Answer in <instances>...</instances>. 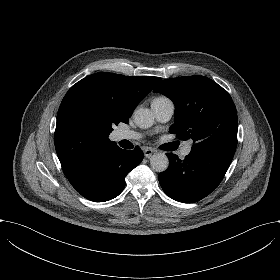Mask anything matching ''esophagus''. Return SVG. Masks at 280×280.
I'll return each instance as SVG.
<instances>
[{"mask_svg": "<svg viewBox=\"0 0 280 280\" xmlns=\"http://www.w3.org/2000/svg\"><path fill=\"white\" fill-rule=\"evenodd\" d=\"M155 152V149L149 147L144 150V155L146 158H150Z\"/></svg>", "mask_w": 280, "mask_h": 280, "instance_id": "34e87169", "label": "esophagus"}]
</instances>
